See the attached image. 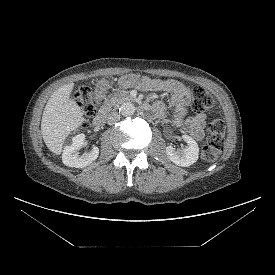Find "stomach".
Listing matches in <instances>:
<instances>
[{
	"label": "stomach",
	"mask_w": 275,
	"mask_h": 275,
	"mask_svg": "<svg viewBox=\"0 0 275 275\" xmlns=\"http://www.w3.org/2000/svg\"><path fill=\"white\" fill-rule=\"evenodd\" d=\"M96 88L98 91L103 92L108 88V82L105 80H101L97 83Z\"/></svg>",
	"instance_id": "obj_1"
}]
</instances>
